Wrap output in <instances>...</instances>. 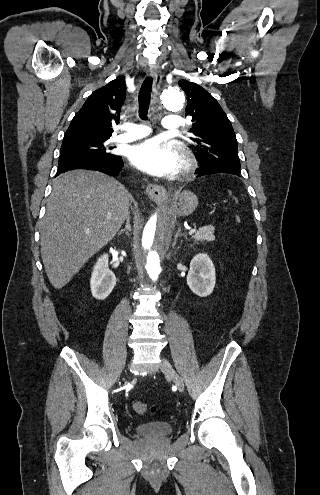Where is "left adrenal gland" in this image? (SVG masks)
Returning a JSON list of instances; mask_svg holds the SVG:
<instances>
[{
    "label": "left adrenal gland",
    "instance_id": "1",
    "mask_svg": "<svg viewBox=\"0 0 320 495\" xmlns=\"http://www.w3.org/2000/svg\"><path fill=\"white\" fill-rule=\"evenodd\" d=\"M178 237H183L184 239H187V236L185 235V233H181V227H178V230H177L175 237H174L173 245L176 244Z\"/></svg>",
    "mask_w": 320,
    "mask_h": 495
}]
</instances>
